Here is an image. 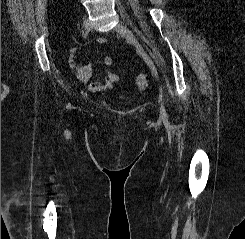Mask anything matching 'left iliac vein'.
I'll return each instance as SVG.
<instances>
[{"mask_svg":"<svg viewBox=\"0 0 245 239\" xmlns=\"http://www.w3.org/2000/svg\"><path fill=\"white\" fill-rule=\"evenodd\" d=\"M115 31L118 32L121 36L125 37L128 42H130L137 50V52L141 55V57L144 59V61L147 63L149 68L151 69L153 75L155 78H158V72L157 68L148 55V53L145 51L143 46L140 44V42L137 40L133 32L125 25L118 23L115 27ZM161 111H164V106L161 105L160 107Z\"/></svg>","mask_w":245,"mask_h":239,"instance_id":"obj_1","label":"left iliac vein"}]
</instances>
